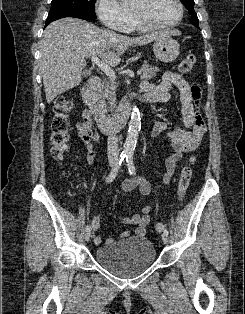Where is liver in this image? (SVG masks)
<instances>
[{"instance_id": "obj_1", "label": "liver", "mask_w": 245, "mask_h": 314, "mask_svg": "<svg viewBox=\"0 0 245 314\" xmlns=\"http://www.w3.org/2000/svg\"><path fill=\"white\" fill-rule=\"evenodd\" d=\"M179 34L171 31L129 37L99 29L81 19L67 17L54 21L44 30L40 41L39 70L47 103L81 83L86 57L100 56L115 66L129 46L146 45L160 37Z\"/></svg>"}]
</instances>
